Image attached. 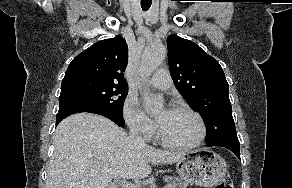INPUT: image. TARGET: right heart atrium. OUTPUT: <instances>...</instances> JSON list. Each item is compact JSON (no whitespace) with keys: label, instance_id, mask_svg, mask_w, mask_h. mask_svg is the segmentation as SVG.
Listing matches in <instances>:
<instances>
[{"label":"right heart atrium","instance_id":"obj_1","mask_svg":"<svg viewBox=\"0 0 292 188\" xmlns=\"http://www.w3.org/2000/svg\"><path fill=\"white\" fill-rule=\"evenodd\" d=\"M123 117L130 130L143 137L153 133L152 121L139 109L135 98L128 96L123 105Z\"/></svg>","mask_w":292,"mask_h":188}]
</instances>
